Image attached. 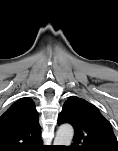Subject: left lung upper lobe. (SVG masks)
<instances>
[{"instance_id":"5c2ea615","label":"left lung upper lobe","mask_w":118,"mask_h":151,"mask_svg":"<svg viewBox=\"0 0 118 151\" xmlns=\"http://www.w3.org/2000/svg\"><path fill=\"white\" fill-rule=\"evenodd\" d=\"M73 125L76 151H118L117 139L110 122L97 107L76 96L69 97L58 117V124Z\"/></svg>"}]
</instances>
